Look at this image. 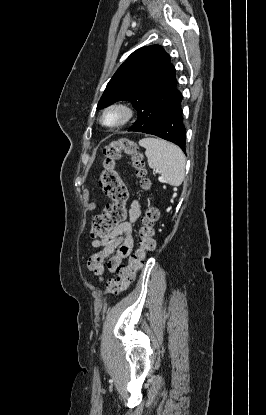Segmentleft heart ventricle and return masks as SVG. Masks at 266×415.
Segmentation results:
<instances>
[{
	"label": "left heart ventricle",
	"instance_id": "left-heart-ventricle-1",
	"mask_svg": "<svg viewBox=\"0 0 266 415\" xmlns=\"http://www.w3.org/2000/svg\"><path fill=\"white\" fill-rule=\"evenodd\" d=\"M117 118H118V116L116 114H109L106 117V122H108V123H114V122H116Z\"/></svg>",
	"mask_w": 266,
	"mask_h": 415
}]
</instances>
